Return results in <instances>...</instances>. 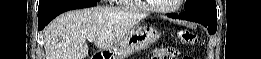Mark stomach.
<instances>
[{
    "mask_svg": "<svg viewBox=\"0 0 261 59\" xmlns=\"http://www.w3.org/2000/svg\"><path fill=\"white\" fill-rule=\"evenodd\" d=\"M160 32L153 26H137L103 53L106 59H125L158 41Z\"/></svg>",
    "mask_w": 261,
    "mask_h": 59,
    "instance_id": "0dacf381",
    "label": "stomach"
}]
</instances>
